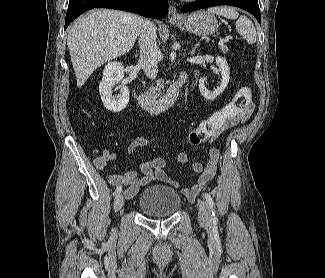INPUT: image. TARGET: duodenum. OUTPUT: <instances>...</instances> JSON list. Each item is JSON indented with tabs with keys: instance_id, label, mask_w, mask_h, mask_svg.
<instances>
[{
	"instance_id": "1",
	"label": "duodenum",
	"mask_w": 325,
	"mask_h": 278,
	"mask_svg": "<svg viewBox=\"0 0 325 278\" xmlns=\"http://www.w3.org/2000/svg\"><path fill=\"white\" fill-rule=\"evenodd\" d=\"M186 80L187 74L182 72L163 97L153 98L145 94H138L137 102L152 113H160L174 105Z\"/></svg>"
}]
</instances>
